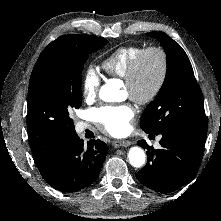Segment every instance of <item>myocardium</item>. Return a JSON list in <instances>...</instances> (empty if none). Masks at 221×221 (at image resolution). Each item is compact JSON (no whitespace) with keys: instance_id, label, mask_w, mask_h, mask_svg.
Returning a JSON list of instances; mask_svg holds the SVG:
<instances>
[{"instance_id":"1","label":"myocardium","mask_w":221,"mask_h":221,"mask_svg":"<svg viewBox=\"0 0 221 221\" xmlns=\"http://www.w3.org/2000/svg\"><path fill=\"white\" fill-rule=\"evenodd\" d=\"M150 54H155L159 57L160 73L152 89L145 94H141L137 90V83L143 62L145 58ZM168 73H169V59L165 49H163L160 46H149L147 48H144L136 57V59L130 66L124 78V82L126 88L129 91L130 98L139 105H147L153 102L163 90L168 78Z\"/></svg>"}]
</instances>
